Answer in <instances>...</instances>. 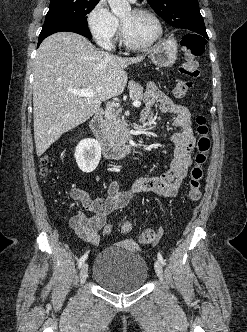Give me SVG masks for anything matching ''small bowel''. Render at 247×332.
<instances>
[{
	"label": "small bowel",
	"mask_w": 247,
	"mask_h": 332,
	"mask_svg": "<svg viewBox=\"0 0 247 332\" xmlns=\"http://www.w3.org/2000/svg\"><path fill=\"white\" fill-rule=\"evenodd\" d=\"M144 100L146 107L141 115L142 120L152 115L156 104L163 113L174 115L173 125L178 128V131L170 135L176 145L174 157L164 173L139 178L130 191H120L116 181L108 184L107 198H91L85 191L77 188L71 191V195L93 215H76L71 218L70 226L82 240L92 245L100 243L99 231L106 226L107 217L114 211L126 207L137 195L154 193L164 197H175L192 163L191 151L196 144V137L192 128L190 110L174 102L154 84L149 86Z\"/></svg>",
	"instance_id": "c3829d8e"
}]
</instances>
